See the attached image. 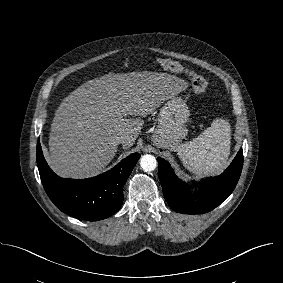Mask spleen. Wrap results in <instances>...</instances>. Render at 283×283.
Wrapping results in <instances>:
<instances>
[{"mask_svg": "<svg viewBox=\"0 0 283 283\" xmlns=\"http://www.w3.org/2000/svg\"><path fill=\"white\" fill-rule=\"evenodd\" d=\"M231 127L225 119H215L198 137L178 146L183 166L197 175L217 174L230 154Z\"/></svg>", "mask_w": 283, "mask_h": 283, "instance_id": "obj_1", "label": "spleen"}]
</instances>
